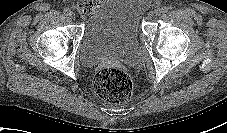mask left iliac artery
<instances>
[{
    "label": "left iliac artery",
    "mask_w": 227,
    "mask_h": 133,
    "mask_svg": "<svg viewBox=\"0 0 227 133\" xmlns=\"http://www.w3.org/2000/svg\"><path fill=\"white\" fill-rule=\"evenodd\" d=\"M169 9H170V8H169V7H167V6L162 7V10H163V12H164V13L168 12V11H169Z\"/></svg>",
    "instance_id": "44dca946"
}]
</instances>
